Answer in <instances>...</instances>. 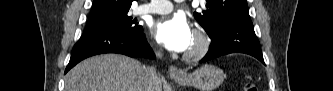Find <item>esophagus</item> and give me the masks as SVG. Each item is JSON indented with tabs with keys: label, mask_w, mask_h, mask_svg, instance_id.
I'll return each instance as SVG.
<instances>
[{
	"label": "esophagus",
	"mask_w": 333,
	"mask_h": 91,
	"mask_svg": "<svg viewBox=\"0 0 333 91\" xmlns=\"http://www.w3.org/2000/svg\"><path fill=\"white\" fill-rule=\"evenodd\" d=\"M169 75L172 77V78H177V77H181L184 75L183 71L180 70L177 66L175 65H171L169 67Z\"/></svg>",
	"instance_id": "1"
}]
</instances>
